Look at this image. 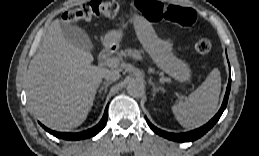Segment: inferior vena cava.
<instances>
[{
  "instance_id": "1",
  "label": "inferior vena cava",
  "mask_w": 259,
  "mask_h": 156,
  "mask_svg": "<svg viewBox=\"0 0 259 156\" xmlns=\"http://www.w3.org/2000/svg\"><path fill=\"white\" fill-rule=\"evenodd\" d=\"M107 81L114 82L120 78V73L117 70H107L104 74Z\"/></svg>"
}]
</instances>
